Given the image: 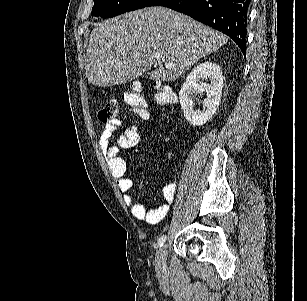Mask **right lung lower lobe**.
Listing matches in <instances>:
<instances>
[{
	"label": "right lung lower lobe",
	"instance_id": "98d812e1",
	"mask_svg": "<svg viewBox=\"0 0 307 301\" xmlns=\"http://www.w3.org/2000/svg\"><path fill=\"white\" fill-rule=\"evenodd\" d=\"M251 0H151L145 7L165 6L228 35L246 55L248 11Z\"/></svg>",
	"mask_w": 307,
	"mask_h": 301
}]
</instances>
